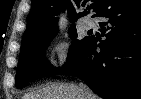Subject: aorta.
<instances>
[{
  "label": "aorta",
  "instance_id": "aorta-1",
  "mask_svg": "<svg viewBox=\"0 0 141 99\" xmlns=\"http://www.w3.org/2000/svg\"><path fill=\"white\" fill-rule=\"evenodd\" d=\"M59 26H60L61 29L64 28V26H65V21H64L63 19L60 20Z\"/></svg>",
  "mask_w": 141,
  "mask_h": 99
}]
</instances>
